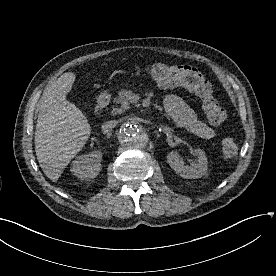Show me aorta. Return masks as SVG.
Here are the masks:
<instances>
[{
    "mask_svg": "<svg viewBox=\"0 0 276 276\" xmlns=\"http://www.w3.org/2000/svg\"><path fill=\"white\" fill-rule=\"evenodd\" d=\"M119 137L126 147L132 149L144 148L148 143V136L141 127L133 121L123 123L119 130Z\"/></svg>",
    "mask_w": 276,
    "mask_h": 276,
    "instance_id": "762f6f07",
    "label": "aorta"
}]
</instances>
